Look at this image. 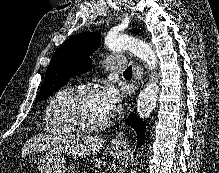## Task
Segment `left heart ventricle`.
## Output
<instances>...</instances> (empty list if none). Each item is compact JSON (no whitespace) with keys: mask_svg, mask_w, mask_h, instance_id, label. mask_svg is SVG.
<instances>
[{"mask_svg":"<svg viewBox=\"0 0 219 173\" xmlns=\"http://www.w3.org/2000/svg\"><path fill=\"white\" fill-rule=\"evenodd\" d=\"M74 114L79 123L84 126H94L101 123L107 114L99 101L97 93L86 95L74 106Z\"/></svg>","mask_w":219,"mask_h":173,"instance_id":"left-heart-ventricle-1","label":"left heart ventricle"}]
</instances>
